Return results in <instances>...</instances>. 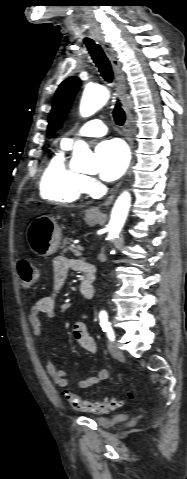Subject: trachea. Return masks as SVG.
I'll return each instance as SVG.
<instances>
[{
    "mask_svg": "<svg viewBox=\"0 0 187 479\" xmlns=\"http://www.w3.org/2000/svg\"><path fill=\"white\" fill-rule=\"evenodd\" d=\"M89 53L91 54V57L98 67L101 76L104 78L105 81L107 82H112L113 80V71L110 65V62L106 55L104 54L102 48L96 44L92 40L84 41ZM113 117L117 125H123L125 122V112L121 108V103L117 99L114 110H113Z\"/></svg>",
    "mask_w": 187,
    "mask_h": 479,
    "instance_id": "1",
    "label": "trachea"
}]
</instances>
